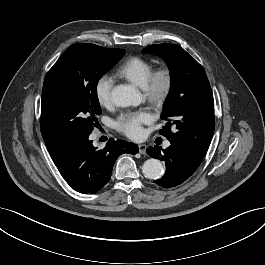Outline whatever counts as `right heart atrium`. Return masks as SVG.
<instances>
[{
	"label": "right heart atrium",
	"instance_id": "right-heart-atrium-1",
	"mask_svg": "<svg viewBox=\"0 0 265 265\" xmlns=\"http://www.w3.org/2000/svg\"><path fill=\"white\" fill-rule=\"evenodd\" d=\"M114 81L109 75H101L94 85V94L98 104L102 107H109L112 103V90Z\"/></svg>",
	"mask_w": 265,
	"mask_h": 265
}]
</instances>
